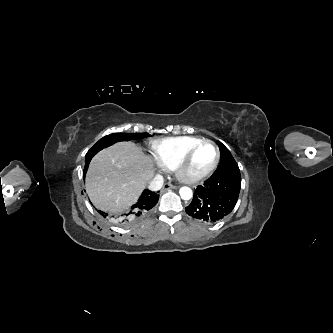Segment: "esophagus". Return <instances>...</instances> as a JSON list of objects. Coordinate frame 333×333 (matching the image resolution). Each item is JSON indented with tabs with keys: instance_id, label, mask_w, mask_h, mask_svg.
<instances>
[{
	"instance_id": "1",
	"label": "esophagus",
	"mask_w": 333,
	"mask_h": 333,
	"mask_svg": "<svg viewBox=\"0 0 333 333\" xmlns=\"http://www.w3.org/2000/svg\"><path fill=\"white\" fill-rule=\"evenodd\" d=\"M177 186L171 184V183H165L163 186V191L170 190V189H176Z\"/></svg>"
}]
</instances>
